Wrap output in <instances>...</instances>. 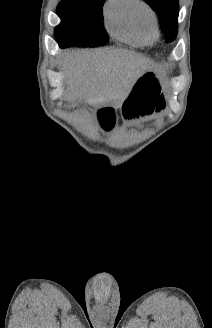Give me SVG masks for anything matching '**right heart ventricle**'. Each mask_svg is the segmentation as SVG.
Here are the masks:
<instances>
[{"mask_svg":"<svg viewBox=\"0 0 212 328\" xmlns=\"http://www.w3.org/2000/svg\"><path fill=\"white\" fill-rule=\"evenodd\" d=\"M139 0H108L104 8L105 24L116 38L129 43H152L156 31L142 28L136 16Z\"/></svg>","mask_w":212,"mask_h":328,"instance_id":"right-heart-ventricle-1","label":"right heart ventricle"}]
</instances>
